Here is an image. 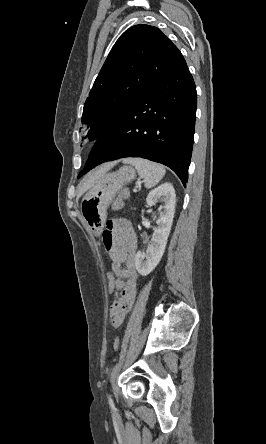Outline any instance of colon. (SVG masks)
I'll return each instance as SVG.
<instances>
[{"label": "colon", "instance_id": "obj_1", "mask_svg": "<svg viewBox=\"0 0 266 444\" xmlns=\"http://www.w3.org/2000/svg\"><path fill=\"white\" fill-rule=\"evenodd\" d=\"M129 197L127 189H122L118 198H116L112 204L113 209L118 210L123 206L124 201ZM106 287L110 295H113L117 288V276L114 271L110 270L106 275ZM120 347V339L116 338L113 342L114 350H118Z\"/></svg>", "mask_w": 266, "mask_h": 444}]
</instances>
